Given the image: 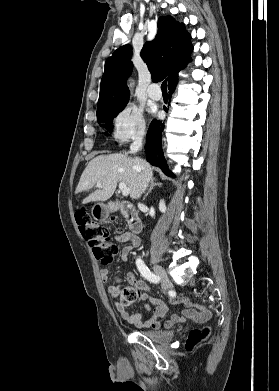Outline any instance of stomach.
Instances as JSON below:
<instances>
[{"label": "stomach", "mask_w": 279, "mask_h": 391, "mask_svg": "<svg viewBox=\"0 0 279 391\" xmlns=\"http://www.w3.org/2000/svg\"><path fill=\"white\" fill-rule=\"evenodd\" d=\"M110 213V207L108 205L98 203L92 208V216L95 220H105Z\"/></svg>", "instance_id": "1"}]
</instances>
